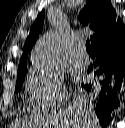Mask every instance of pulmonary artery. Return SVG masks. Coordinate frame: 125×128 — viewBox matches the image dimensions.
Returning a JSON list of instances; mask_svg holds the SVG:
<instances>
[{
  "label": "pulmonary artery",
  "instance_id": "e3ab8cb5",
  "mask_svg": "<svg viewBox=\"0 0 125 128\" xmlns=\"http://www.w3.org/2000/svg\"><path fill=\"white\" fill-rule=\"evenodd\" d=\"M74 60L77 63H88L89 62L90 58H89L88 54L85 52L83 44H80L77 47V49L74 53Z\"/></svg>",
  "mask_w": 125,
  "mask_h": 128
}]
</instances>
